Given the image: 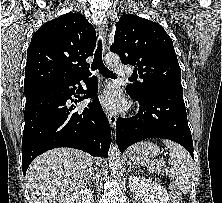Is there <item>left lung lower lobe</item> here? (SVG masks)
I'll list each match as a JSON object with an SVG mask.
<instances>
[{"label":"left lung lower lobe","mask_w":222,"mask_h":203,"mask_svg":"<svg viewBox=\"0 0 222 203\" xmlns=\"http://www.w3.org/2000/svg\"><path fill=\"white\" fill-rule=\"evenodd\" d=\"M132 98L140 104L138 114L131 118L119 117L116 122L120 152L147 138H165L181 144L194 158L183 91L160 88L142 98Z\"/></svg>","instance_id":"obj_1"}]
</instances>
